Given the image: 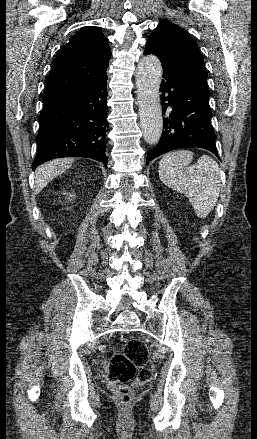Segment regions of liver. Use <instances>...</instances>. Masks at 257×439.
Instances as JSON below:
<instances>
[{"label":"liver","instance_id":"1","mask_svg":"<svg viewBox=\"0 0 257 439\" xmlns=\"http://www.w3.org/2000/svg\"><path fill=\"white\" fill-rule=\"evenodd\" d=\"M73 159H55L41 165L35 173L36 193H39L50 181L65 172L72 164Z\"/></svg>","mask_w":257,"mask_h":439}]
</instances>
